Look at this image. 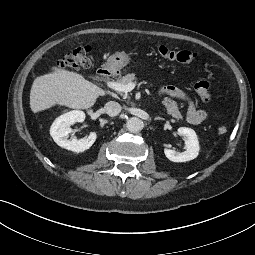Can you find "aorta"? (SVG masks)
Segmentation results:
<instances>
[{"mask_svg": "<svg viewBox=\"0 0 255 255\" xmlns=\"http://www.w3.org/2000/svg\"><path fill=\"white\" fill-rule=\"evenodd\" d=\"M126 127L130 132L136 133L143 128V121L138 117H131L126 122Z\"/></svg>", "mask_w": 255, "mask_h": 255, "instance_id": "aorta-1", "label": "aorta"}]
</instances>
